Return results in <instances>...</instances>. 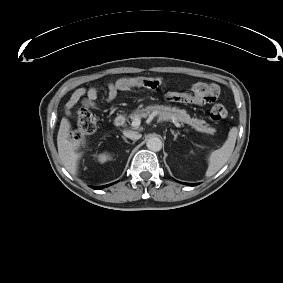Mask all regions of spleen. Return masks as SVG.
I'll return each mask as SVG.
<instances>
[{"mask_svg": "<svg viewBox=\"0 0 283 283\" xmlns=\"http://www.w3.org/2000/svg\"><path fill=\"white\" fill-rule=\"evenodd\" d=\"M238 130L233 127L228 134V138L220 149L211 152L208 158V169L206 176L210 177L218 172L229 160L236 143Z\"/></svg>", "mask_w": 283, "mask_h": 283, "instance_id": "3e777b00", "label": "spleen"}]
</instances>
